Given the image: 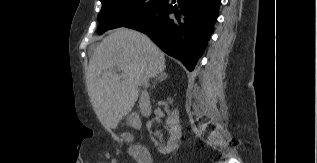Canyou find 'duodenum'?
Masks as SVG:
<instances>
[{
	"mask_svg": "<svg viewBox=\"0 0 317 163\" xmlns=\"http://www.w3.org/2000/svg\"><path fill=\"white\" fill-rule=\"evenodd\" d=\"M128 122L130 126L135 129H139L141 126L140 117L135 113L129 114ZM133 148L138 156H146L148 154V149L144 145L137 144L134 145Z\"/></svg>",
	"mask_w": 317,
	"mask_h": 163,
	"instance_id": "1",
	"label": "duodenum"
}]
</instances>
